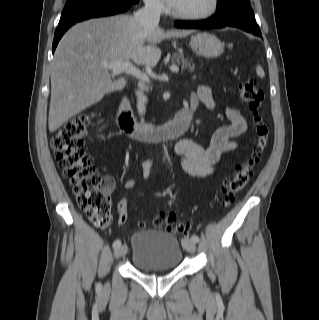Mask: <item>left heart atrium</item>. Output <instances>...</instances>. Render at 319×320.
Wrapping results in <instances>:
<instances>
[{"label": "left heart atrium", "instance_id": "39dd6f15", "mask_svg": "<svg viewBox=\"0 0 319 320\" xmlns=\"http://www.w3.org/2000/svg\"><path fill=\"white\" fill-rule=\"evenodd\" d=\"M167 4L173 8H176L181 0H166Z\"/></svg>", "mask_w": 319, "mask_h": 320}]
</instances>
